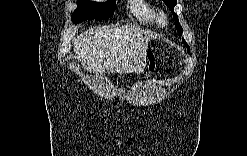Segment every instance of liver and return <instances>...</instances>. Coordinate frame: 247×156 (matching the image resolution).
<instances>
[{
    "mask_svg": "<svg viewBox=\"0 0 247 156\" xmlns=\"http://www.w3.org/2000/svg\"><path fill=\"white\" fill-rule=\"evenodd\" d=\"M155 38L136 26L97 27L75 40L74 52L85 69L96 75L139 74L146 66L148 43Z\"/></svg>",
    "mask_w": 247,
    "mask_h": 156,
    "instance_id": "liver-1",
    "label": "liver"
}]
</instances>
